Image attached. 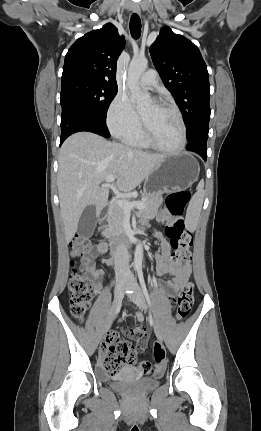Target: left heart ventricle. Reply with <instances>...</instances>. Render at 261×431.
Here are the masks:
<instances>
[{"instance_id": "b2bd125f", "label": "left heart ventricle", "mask_w": 261, "mask_h": 431, "mask_svg": "<svg viewBox=\"0 0 261 431\" xmlns=\"http://www.w3.org/2000/svg\"><path fill=\"white\" fill-rule=\"evenodd\" d=\"M141 116L159 145L168 149L178 146L181 129L178 118L171 109L149 103L141 110Z\"/></svg>"}]
</instances>
